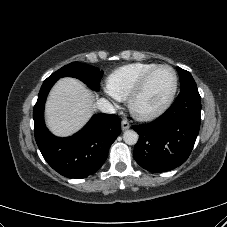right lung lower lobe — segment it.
<instances>
[{
	"label": "right lung lower lobe",
	"instance_id": "right-lung-lower-lobe-1",
	"mask_svg": "<svg viewBox=\"0 0 227 227\" xmlns=\"http://www.w3.org/2000/svg\"><path fill=\"white\" fill-rule=\"evenodd\" d=\"M56 81H44L34 106V134L45 161L59 174L74 179L85 178L103 165L108 150L121 131L120 119L113 114H95L73 136L59 138L44 123V105Z\"/></svg>",
	"mask_w": 227,
	"mask_h": 227
}]
</instances>
